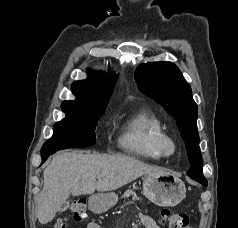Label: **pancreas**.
<instances>
[{"mask_svg":"<svg viewBox=\"0 0 238 228\" xmlns=\"http://www.w3.org/2000/svg\"><path fill=\"white\" fill-rule=\"evenodd\" d=\"M133 195V199L134 200H141L137 195L136 192L134 190L128 189L124 192V194L122 195V197H129Z\"/></svg>","mask_w":238,"mask_h":228,"instance_id":"obj_1","label":"pancreas"}]
</instances>
